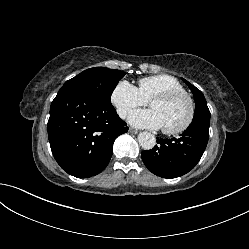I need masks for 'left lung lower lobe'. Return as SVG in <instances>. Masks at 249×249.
<instances>
[{
	"label": "left lung lower lobe",
	"mask_w": 249,
	"mask_h": 249,
	"mask_svg": "<svg viewBox=\"0 0 249 249\" xmlns=\"http://www.w3.org/2000/svg\"><path fill=\"white\" fill-rule=\"evenodd\" d=\"M210 117H199L179 138L159 139L152 150L143 151L142 160L155 175L176 178L188 173L199 162L209 139Z\"/></svg>",
	"instance_id": "left-lung-lower-lobe-1"
}]
</instances>
